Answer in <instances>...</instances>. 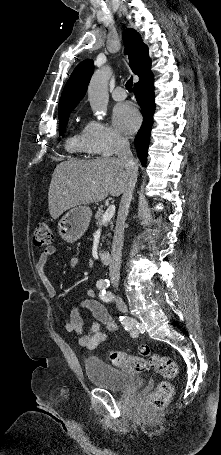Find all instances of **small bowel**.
I'll list each match as a JSON object with an SVG mask.
<instances>
[{"label": "small bowel", "mask_w": 221, "mask_h": 455, "mask_svg": "<svg viewBox=\"0 0 221 455\" xmlns=\"http://www.w3.org/2000/svg\"><path fill=\"white\" fill-rule=\"evenodd\" d=\"M56 253V248L50 246L42 250L39 258L35 264V270L40 278V281L45 288L46 292L50 297H55L57 292L50 279L46 274V267L50 258ZM77 259L73 258L70 261L71 267H75ZM82 307L88 309L93 317L94 322L90 325L87 332L83 328V319L80 315L79 308H74L71 313L69 320L65 323L64 329L68 333L78 334V343L80 346L93 350L101 343L105 342L112 334H114L118 328V325L114 318L109 314L106 307L96 300L95 292L88 290L86 293V299L81 304ZM104 326L105 330L102 331L101 327Z\"/></svg>", "instance_id": "1"}]
</instances>
